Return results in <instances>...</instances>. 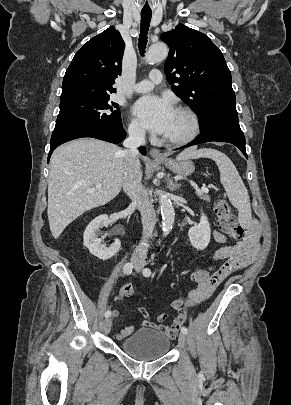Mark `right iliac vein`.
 Here are the masks:
<instances>
[{
  "label": "right iliac vein",
  "mask_w": 291,
  "mask_h": 405,
  "mask_svg": "<svg viewBox=\"0 0 291 405\" xmlns=\"http://www.w3.org/2000/svg\"><path fill=\"white\" fill-rule=\"evenodd\" d=\"M132 264L135 266V268L138 266V263L136 261H132ZM103 328L105 333H109L111 330V320L110 318L105 319L103 323Z\"/></svg>",
  "instance_id": "right-iliac-vein-1"
}]
</instances>
